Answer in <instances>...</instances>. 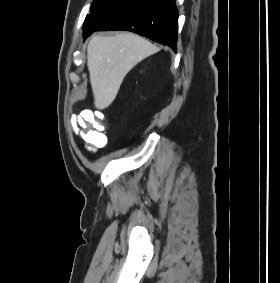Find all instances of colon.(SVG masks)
Masks as SVG:
<instances>
[{
  "mask_svg": "<svg viewBox=\"0 0 280 283\" xmlns=\"http://www.w3.org/2000/svg\"><path fill=\"white\" fill-rule=\"evenodd\" d=\"M101 119H105V114H98V110H87L74 119V123L81 126L78 131L79 138L94 150L104 147L107 143Z\"/></svg>",
  "mask_w": 280,
  "mask_h": 283,
  "instance_id": "obj_1",
  "label": "colon"
}]
</instances>
